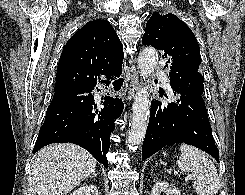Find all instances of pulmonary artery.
<instances>
[{"label":"pulmonary artery","instance_id":"pulmonary-artery-1","mask_svg":"<svg viewBox=\"0 0 245 195\" xmlns=\"http://www.w3.org/2000/svg\"><path fill=\"white\" fill-rule=\"evenodd\" d=\"M164 82L168 86V79L167 78L164 80Z\"/></svg>","mask_w":245,"mask_h":195}]
</instances>
